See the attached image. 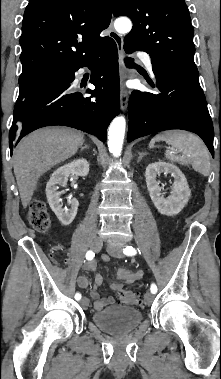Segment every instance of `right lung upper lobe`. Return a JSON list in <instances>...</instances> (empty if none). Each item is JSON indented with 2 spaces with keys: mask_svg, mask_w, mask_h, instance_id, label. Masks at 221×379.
Wrapping results in <instances>:
<instances>
[{
  "mask_svg": "<svg viewBox=\"0 0 221 379\" xmlns=\"http://www.w3.org/2000/svg\"><path fill=\"white\" fill-rule=\"evenodd\" d=\"M111 21V0H30L23 17L19 81L96 54Z\"/></svg>",
  "mask_w": 221,
  "mask_h": 379,
  "instance_id": "right-lung-upper-lobe-1",
  "label": "right lung upper lobe"
}]
</instances>
